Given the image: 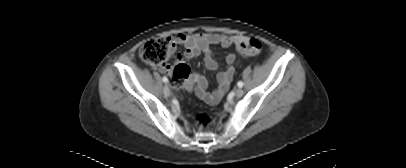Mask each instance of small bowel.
<instances>
[{"instance_id":"obj_1","label":"small bowel","mask_w":406,"mask_h":168,"mask_svg":"<svg viewBox=\"0 0 406 168\" xmlns=\"http://www.w3.org/2000/svg\"><path fill=\"white\" fill-rule=\"evenodd\" d=\"M245 41H247V38L240 35H225L220 33L178 34L172 38L171 53L176 51L177 45H183L185 47L184 52L178 53L175 56L176 65H186L187 60L194 59L203 54L206 68L209 70H216L219 63L213 57L211 45H220L225 48L234 46L239 49L240 44ZM235 59L234 54H227L225 56L227 68L218 74L217 88L212 93L207 91V80L200 74L189 73L185 78H179L176 79V81L183 82V85L187 88H190L193 84H195L196 95L199 98L209 104L217 103L227 92L232 82L235 73V69L233 67ZM158 70L162 73L170 74L173 76V78H175L174 70L168 63L158 65Z\"/></svg>"}]
</instances>
